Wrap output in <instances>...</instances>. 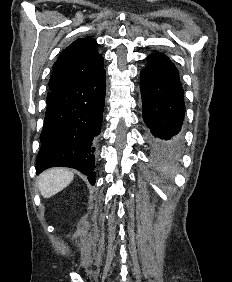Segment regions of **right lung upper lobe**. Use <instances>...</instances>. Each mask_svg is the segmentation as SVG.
Wrapping results in <instances>:
<instances>
[{
	"instance_id": "1",
	"label": "right lung upper lobe",
	"mask_w": 232,
	"mask_h": 282,
	"mask_svg": "<svg viewBox=\"0 0 232 282\" xmlns=\"http://www.w3.org/2000/svg\"><path fill=\"white\" fill-rule=\"evenodd\" d=\"M103 56L91 37L79 38L65 48L53 65L47 101L71 85L103 70Z\"/></svg>"
}]
</instances>
